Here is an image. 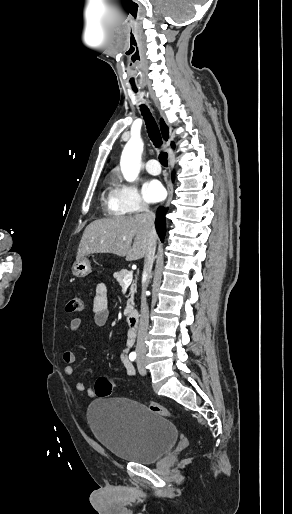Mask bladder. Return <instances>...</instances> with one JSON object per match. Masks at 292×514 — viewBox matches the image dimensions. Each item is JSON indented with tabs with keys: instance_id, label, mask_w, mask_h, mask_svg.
Instances as JSON below:
<instances>
[{
	"instance_id": "obj_1",
	"label": "bladder",
	"mask_w": 292,
	"mask_h": 514,
	"mask_svg": "<svg viewBox=\"0 0 292 514\" xmlns=\"http://www.w3.org/2000/svg\"><path fill=\"white\" fill-rule=\"evenodd\" d=\"M87 421L98 442L123 461L153 463L167 454L178 440L173 422L147 405L128 398L91 402Z\"/></svg>"
}]
</instances>
